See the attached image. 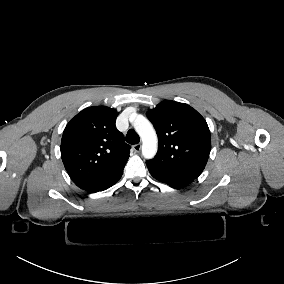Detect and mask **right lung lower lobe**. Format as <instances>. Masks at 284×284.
I'll return each mask as SVG.
<instances>
[{
	"label": "right lung lower lobe",
	"instance_id": "1",
	"mask_svg": "<svg viewBox=\"0 0 284 284\" xmlns=\"http://www.w3.org/2000/svg\"><path fill=\"white\" fill-rule=\"evenodd\" d=\"M121 176H122V174H121L119 177H117V178L114 180V182H113L111 185H109L107 188H109V187H111L112 185H114V184L121 178ZM107 188H105V189H107ZM105 189H103V190H105ZM103 190H101V191H103Z\"/></svg>",
	"mask_w": 284,
	"mask_h": 284
}]
</instances>
